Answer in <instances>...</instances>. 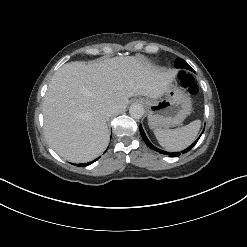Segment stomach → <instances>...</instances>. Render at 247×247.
I'll return each instance as SVG.
<instances>
[{
  "instance_id": "1",
  "label": "stomach",
  "mask_w": 247,
  "mask_h": 247,
  "mask_svg": "<svg viewBox=\"0 0 247 247\" xmlns=\"http://www.w3.org/2000/svg\"><path fill=\"white\" fill-rule=\"evenodd\" d=\"M165 97L159 100L144 99L151 129H162L180 125L192 111V102L183 89L176 83H170Z\"/></svg>"
}]
</instances>
